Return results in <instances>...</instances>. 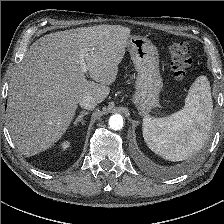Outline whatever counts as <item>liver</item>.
Returning <instances> with one entry per match:
<instances>
[{"mask_svg":"<svg viewBox=\"0 0 224 224\" xmlns=\"http://www.w3.org/2000/svg\"><path fill=\"white\" fill-rule=\"evenodd\" d=\"M130 32L120 25L81 27L47 34L30 46L10 83L7 107L9 132L23 155L58 142L81 98H107ZM82 49L88 50L87 72L79 61Z\"/></svg>","mask_w":224,"mask_h":224,"instance_id":"1","label":"liver"}]
</instances>
